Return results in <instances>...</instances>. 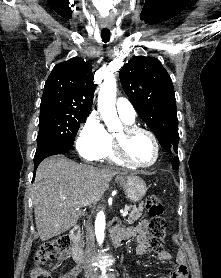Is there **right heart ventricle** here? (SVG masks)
Listing matches in <instances>:
<instances>
[{"instance_id": "obj_1", "label": "right heart ventricle", "mask_w": 221, "mask_h": 278, "mask_svg": "<svg viewBox=\"0 0 221 278\" xmlns=\"http://www.w3.org/2000/svg\"><path fill=\"white\" fill-rule=\"evenodd\" d=\"M126 124L130 125L132 124V122H127V121H124ZM103 159H106L110 162H113V163H117V164H120L121 162L115 157L114 153H113V148H112V139L110 137V143L106 149V151L104 152V154L102 155Z\"/></svg>"}]
</instances>
